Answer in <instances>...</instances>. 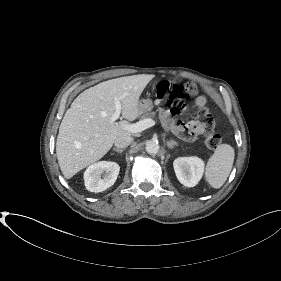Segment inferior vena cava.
Segmentation results:
<instances>
[{"instance_id":"1","label":"inferior vena cava","mask_w":281,"mask_h":281,"mask_svg":"<svg viewBox=\"0 0 281 281\" xmlns=\"http://www.w3.org/2000/svg\"><path fill=\"white\" fill-rule=\"evenodd\" d=\"M132 141L133 138L131 136H121L115 140L114 145L117 148H126L132 143Z\"/></svg>"}]
</instances>
